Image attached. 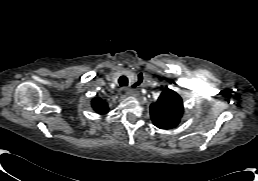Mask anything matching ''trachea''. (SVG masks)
<instances>
[{
  "label": "trachea",
  "instance_id": "3493384b",
  "mask_svg": "<svg viewBox=\"0 0 258 181\" xmlns=\"http://www.w3.org/2000/svg\"><path fill=\"white\" fill-rule=\"evenodd\" d=\"M120 86H127L128 85V79L126 76H121L118 80Z\"/></svg>",
  "mask_w": 258,
  "mask_h": 181
}]
</instances>
